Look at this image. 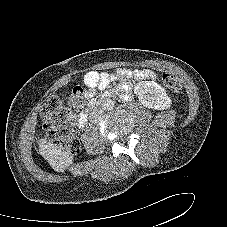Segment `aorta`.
Returning a JSON list of instances; mask_svg holds the SVG:
<instances>
[{
    "label": "aorta",
    "instance_id": "762f6f07",
    "mask_svg": "<svg viewBox=\"0 0 227 227\" xmlns=\"http://www.w3.org/2000/svg\"><path fill=\"white\" fill-rule=\"evenodd\" d=\"M115 107V102L112 99H106L103 102V108L105 110H112Z\"/></svg>",
    "mask_w": 227,
    "mask_h": 227
}]
</instances>
